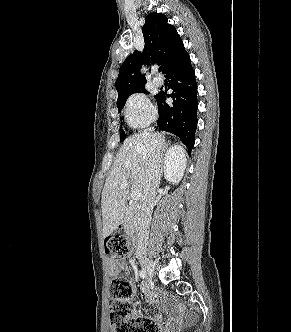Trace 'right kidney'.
I'll list each match as a JSON object with an SVG mask.
<instances>
[{
  "mask_svg": "<svg viewBox=\"0 0 291 332\" xmlns=\"http://www.w3.org/2000/svg\"><path fill=\"white\" fill-rule=\"evenodd\" d=\"M186 159L181 154L179 146H172L165 156V178L173 184H178L182 179Z\"/></svg>",
  "mask_w": 291,
  "mask_h": 332,
  "instance_id": "ca27d5eb",
  "label": "right kidney"
}]
</instances>
